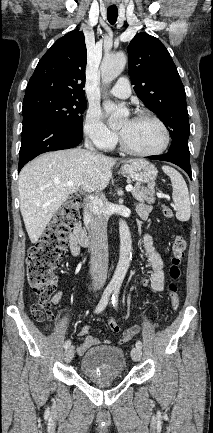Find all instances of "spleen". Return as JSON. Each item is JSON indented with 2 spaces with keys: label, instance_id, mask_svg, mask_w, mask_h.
I'll use <instances>...</instances> for the list:
<instances>
[{
  "label": "spleen",
  "instance_id": "1",
  "mask_svg": "<svg viewBox=\"0 0 213 433\" xmlns=\"http://www.w3.org/2000/svg\"><path fill=\"white\" fill-rule=\"evenodd\" d=\"M162 170L166 173L172 183V198L176 207V218L179 221H188L191 215L190 199L188 187L182 175L169 166H163Z\"/></svg>",
  "mask_w": 213,
  "mask_h": 433
}]
</instances>
